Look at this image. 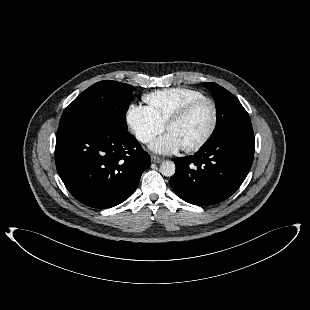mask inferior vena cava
Listing matches in <instances>:
<instances>
[{"label": "inferior vena cava", "instance_id": "602c4592", "mask_svg": "<svg viewBox=\"0 0 310 310\" xmlns=\"http://www.w3.org/2000/svg\"><path fill=\"white\" fill-rule=\"evenodd\" d=\"M150 140V137H145L142 141L143 142H148Z\"/></svg>", "mask_w": 310, "mask_h": 310}]
</instances>
